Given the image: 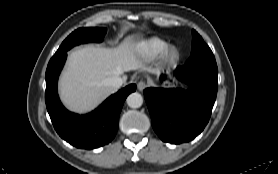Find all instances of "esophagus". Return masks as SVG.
I'll return each instance as SVG.
<instances>
[{"instance_id":"esophagus-1","label":"esophagus","mask_w":278,"mask_h":174,"mask_svg":"<svg viewBox=\"0 0 278 174\" xmlns=\"http://www.w3.org/2000/svg\"><path fill=\"white\" fill-rule=\"evenodd\" d=\"M147 87V84L145 81H139L137 84V89L139 91H143Z\"/></svg>"}]
</instances>
